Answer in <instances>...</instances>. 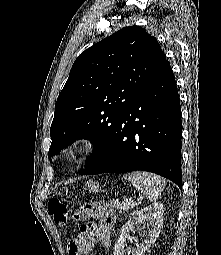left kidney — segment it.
<instances>
[{
  "label": "left kidney",
  "instance_id": "obj_1",
  "mask_svg": "<svg viewBox=\"0 0 221 255\" xmlns=\"http://www.w3.org/2000/svg\"><path fill=\"white\" fill-rule=\"evenodd\" d=\"M164 206L155 202L141 210L134 211L121 229L120 237L115 244L114 255H144L159 236L163 222ZM134 224L141 232L142 242H137L135 248H128L126 240L129 232L133 231Z\"/></svg>",
  "mask_w": 221,
  "mask_h": 255
}]
</instances>
